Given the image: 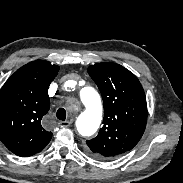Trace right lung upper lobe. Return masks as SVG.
<instances>
[{
    "mask_svg": "<svg viewBox=\"0 0 183 183\" xmlns=\"http://www.w3.org/2000/svg\"><path fill=\"white\" fill-rule=\"evenodd\" d=\"M59 66L32 61L17 70L0 90V140L14 154L32 156L50 142L42 125L50 108L48 88Z\"/></svg>",
    "mask_w": 183,
    "mask_h": 183,
    "instance_id": "right-lung-upper-lobe-1",
    "label": "right lung upper lobe"
}]
</instances>
